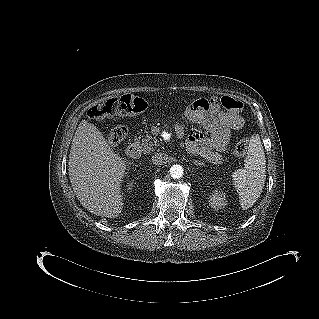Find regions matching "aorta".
Instances as JSON below:
<instances>
[{"label":"aorta","mask_w":319,"mask_h":319,"mask_svg":"<svg viewBox=\"0 0 319 319\" xmlns=\"http://www.w3.org/2000/svg\"><path fill=\"white\" fill-rule=\"evenodd\" d=\"M183 167L181 165H172L170 168V175L174 179H179L183 176Z\"/></svg>","instance_id":"obj_1"}]
</instances>
